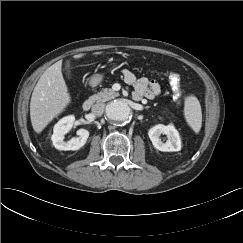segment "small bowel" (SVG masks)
Returning a JSON list of instances; mask_svg holds the SVG:
<instances>
[{
    "instance_id": "small-bowel-1",
    "label": "small bowel",
    "mask_w": 243,
    "mask_h": 243,
    "mask_svg": "<svg viewBox=\"0 0 243 243\" xmlns=\"http://www.w3.org/2000/svg\"><path fill=\"white\" fill-rule=\"evenodd\" d=\"M122 75L124 81L134 87L133 96L135 99H153L161 93V86L155 80H149L146 77L137 78L129 70H123Z\"/></svg>"
}]
</instances>
